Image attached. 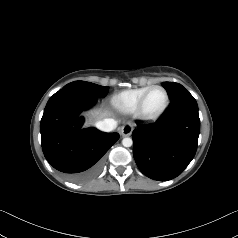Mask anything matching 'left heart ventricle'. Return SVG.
<instances>
[{
  "label": "left heart ventricle",
  "mask_w": 238,
  "mask_h": 238,
  "mask_svg": "<svg viewBox=\"0 0 238 238\" xmlns=\"http://www.w3.org/2000/svg\"><path fill=\"white\" fill-rule=\"evenodd\" d=\"M165 103V94L161 89H154L147 97L145 111L148 114L158 112Z\"/></svg>",
  "instance_id": "left-heart-ventricle-1"
}]
</instances>
